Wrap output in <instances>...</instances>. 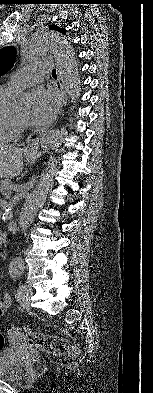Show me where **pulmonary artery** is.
I'll list each match as a JSON object with an SVG mask.
<instances>
[{
    "mask_svg": "<svg viewBox=\"0 0 153 393\" xmlns=\"http://www.w3.org/2000/svg\"><path fill=\"white\" fill-rule=\"evenodd\" d=\"M49 68H51V63L48 61L34 62L25 67L21 72L12 75L7 82V87L16 91L33 85Z\"/></svg>",
    "mask_w": 153,
    "mask_h": 393,
    "instance_id": "e3ab8cb5",
    "label": "pulmonary artery"
}]
</instances>
